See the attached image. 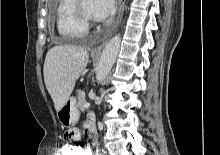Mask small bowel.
Returning <instances> with one entry per match:
<instances>
[{
  "mask_svg": "<svg viewBox=\"0 0 220 155\" xmlns=\"http://www.w3.org/2000/svg\"><path fill=\"white\" fill-rule=\"evenodd\" d=\"M63 140L64 141H79L80 140V130L76 129V126H64L63 130ZM63 146H74V145H63ZM82 155H91L90 150L83 149Z\"/></svg>",
  "mask_w": 220,
  "mask_h": 155,
  "instance_id": "1",
  "label": "small bowel"
}]
</instances>
